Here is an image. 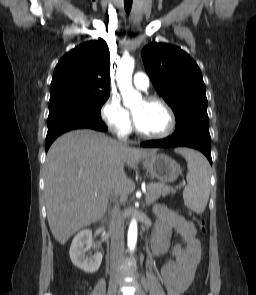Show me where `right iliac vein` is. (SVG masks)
Wrapping results in <instances>:
<instances>
[{"instance_id": "1", "label": "right iliac vein", "mask_w": 256, "mask_h": 295, "mask_svg": "<svg viewBox=\"0 0 256 295\" xmlns=\"http://www.w3.org/2000/svg\"><path fill=\"white\" fill-rule=\"evenodd\" d=\"M121 274L115 273L110 277L107 295H115L120 281Z\"/></svg>"}]
</instances>
